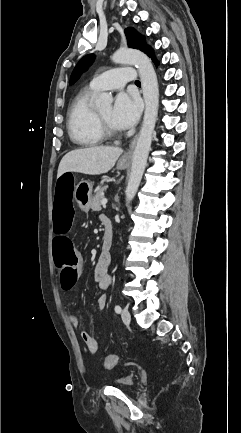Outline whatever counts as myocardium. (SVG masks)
Returning <instances> with one entry per match:
<instances>
[{"label":"myocardium","mask_w":241,"mask_h":433,"mask_svg":"<svg viewBox=\"0 0 241 433\" xmlns=\"http://www.w3.org/2000/svg\"><path fill=\"white\" fill-rule=\"evenodd\" d=\"M96 122L99 131L103 135L104 138H113L119 135L118 130L111 128L105 120L100 116L98 111L95 112Z\"/></svg>","instance_id":"1"}]
</instances>
